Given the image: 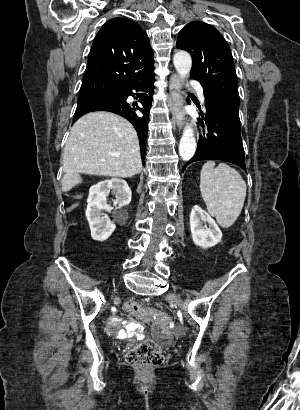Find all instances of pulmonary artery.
Listing matches in <instances>:
<instances>
[{
  "mask_svg": "<svg viewBox=\"0 0 300 410\" xmlns=\"http://www.w3.org/2000/svg\"><path fill=\"white\" fill-rule=\"evenodd\" d=\"M191 84L196 88V91H197L199 97L203 100V92H204V90H203L202 86H200V85H199L197 82H195V81H192Z\"/></svg>",
  "mask_w": 300,
  "mask_h": 410,
  "instance_id": "1",
  "label": "pulmonary artery"
}]
</instances>
